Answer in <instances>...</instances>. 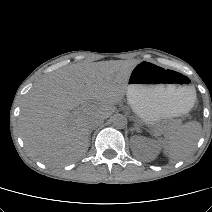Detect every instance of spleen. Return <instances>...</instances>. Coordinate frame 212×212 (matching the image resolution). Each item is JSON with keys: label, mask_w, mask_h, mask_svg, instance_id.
<instances>
[{"label": "spleen", "mask_w": 212, "mask_h": 212, "mask_svg": "<svg viewBox=\"0 0 212 212\" xmlns=\"http://www.w3.org/2000/svg\"><path fill=\"white\" fill-rule=\"evenodd\" d=\"M202 127L198 122H188L181 126L164 144V154L171 161H179L189 156L200 137Z\"/></svg>", "instance_id": "1"}]
</instances>
